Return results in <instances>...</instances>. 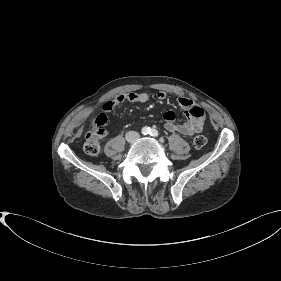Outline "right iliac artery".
I'll return each instance as SVG.
<instances>
[{
    "label": "right iliac artery",
    "instance_id": "1",
    "mask_svg": "<svg viewBox=\"0 0 281 281\" xmlns=\"http://www.w3.org/2000/svg\"><path fill=\"white\" fill-rule=\"evenodd\" d=\"M143 135H147L150 133V127H143L141 130Z\"/></svg>",
    "mask_w": 281,
    "mask_h": 281
}]
</instances>
